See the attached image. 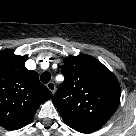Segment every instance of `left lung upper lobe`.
<instances>
[{"label": "left lung upper lobe", "instance_id": "obj_1", "mask_svg": "<svg viewBox=\"0 0 136 136\" xmlns=\"http://www.w3.org/2000/svg\"><path fill=\"white\" fill-rule=\"evenodd\" d=\"M63 61L65 80L52 99L54 105L76 131L100 129L119 105L118 80L94 57L68 56Z\"/></svg>", "mask_w": 136, "mask_h": 136}]
</instances>
